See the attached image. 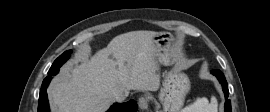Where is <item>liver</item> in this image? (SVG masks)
<instances>
[{
	"mask_svg": "<svg viewBox=\"0 0 270 112\" xmlns=\"http://www.w3.org/2000/svg\"><path fill=\"white\" fill-rule=\"evenodd\" d=\"M158 32L131 31L114 37L94 55L84 53L80 64L59 75L49 88L57 112H105L114 94L130 90L157 91L160 66L153 37Z\"/></svg>",
	"mask_w": 270,
	"mask_h": 112,
	"instance_id": "liver-1",
	"label": "liver"
}]
</instances>
